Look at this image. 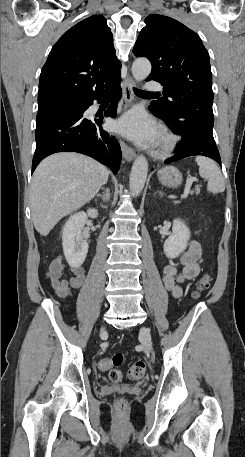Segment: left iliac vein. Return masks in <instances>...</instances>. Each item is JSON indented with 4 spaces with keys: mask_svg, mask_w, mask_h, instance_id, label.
<instances>
[{
    "mask_svg": "<svg viewBox=\"0 0 245 457\" xmlns=\"http://www.w3.org/2000/svg\"><path fill=\"white\" fill-rule=\"evenodd\" d=\"M141 342L144 344L145 350L149 352L151 349V336L149 329L146 327L141 329Z\"/></svg>",
    "mask_w": 245,
    "mask_h": 457,
    "instance_id": "obj_1",
    "label": "left iliac vein"
}]
</instances>
